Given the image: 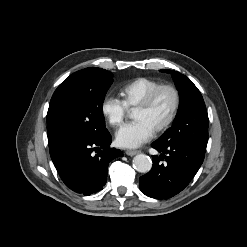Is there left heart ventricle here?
Returning <instances> with one entry per match:
<instances>
[{
  "mask_svg": "<svg viewBox=\"0 0 247 247\" xmlns=\"http://www.w3.org/2000/svg\"><path fill=\"white\" fill-rule=\"evenodd\" d=\"M173 106V95L168 90L161 91L148 109L134 110L135 120L147 122L154 130L169 116Z\"/></svg>",
  "mask_w": 247,
  "mask_h": 247,
  "instance_id": "obj_1",
  "label": "left heart ventricle"
}]
</instances>
